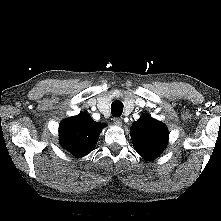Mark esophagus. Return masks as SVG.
Returning <instances> with one entry per match:
<instances>
[{"mask_svg": "<svg viewBox=\"0 0 221 221\" xmlns=\"http://www.w3.org/2000/svg\"><path fill=\"white\" fill-rule=\"evenodd\" d=\"M113 122L117 126H121L122 125V119L121 118L115 117V118H113Z\"/></svg>", "mask_w": 221, "mask_h": 221, "instance_id": "1", "label": "esophagus"}]
</instances>
